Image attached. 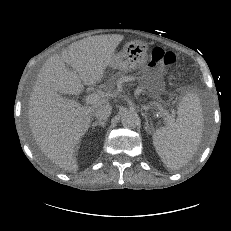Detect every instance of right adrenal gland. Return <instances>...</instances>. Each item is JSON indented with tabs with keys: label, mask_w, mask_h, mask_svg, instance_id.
I'll return each instance as SVG.
<instances>
[{
	"label": "right adrenal gland",
	"mask_w": 231,
	"mask_h": 231,
	"mask_svg": "<svg viewBox=\"0 0 231 231\" xmlns=\"http://www.w3.org/2000/svg\"><path fill=\"white\" fill-rule=\"evenodd\" d=\"M105 124H106V120L96 121L92 124V129H95L96 126H102L104 128Z\"/></svg>",
	"instance_id": "obj_1"
}]
</instances>
